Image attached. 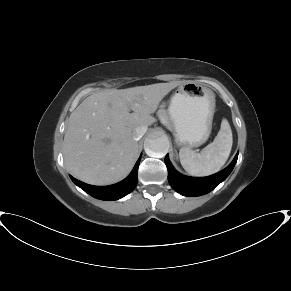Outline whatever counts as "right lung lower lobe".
<instances>
[{"label": "right lung lower lobe", "mask_w": 291, "mask_h": 291, "mask_svg": "<svg viewBox=\"0 0 291 291\" xmlns=\"http://www.w3.org/2000/svg\"><path fill=\"white\" fill-rule=\"evenodd\" d=\"M140 164V158L136 162L132 172L128 175L127 178H125L123 181L110 185V186H92L85 184L72 176L70 178L72 181L79 186L81 189H83L86 193L89 195L100 199V200H107V201H112V200H118L127 194H129L131 191L134 190V188L137 185L138 177H137V172H138V167Z\"/></svg>", "instance_id": "1"}]
</instances>
